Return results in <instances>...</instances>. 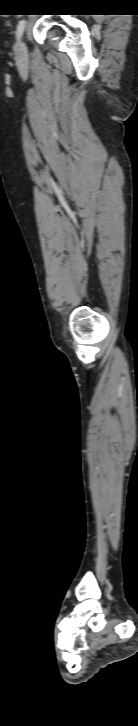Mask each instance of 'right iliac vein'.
Listing matches in <instances>:
<instances>
[{"label": "right iliac vein", "instance_id": "obj_1", "mask_svg": "<svg viewBox=\"0 0 138 726\" xmlns=\"http://www.w3.org/2000/svg\"><path fill=\"white\" fill-rule=\"evenodd\" d=\"M27 48L23 39H21L16 45V59L24 61L26 58Z\"/></svg>", "mask_w": 138, "mask_h": 726}]
</instances>
